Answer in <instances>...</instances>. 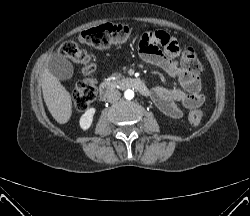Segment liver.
<instances>
[{"label": "liver", "mask_w": 250, "mask_h": 216, "mask_svg": "<svg viewBox=\"0 0 250 216\" xmlns=\"http://www.w3.org/2000/svg\"><path fill=\"white\" fill-rule=\"evenodd\" d=\"M41 82L43 98L49 112L58 123H67L72 114L70 93L47 68L42 72Z\"/></svg>", "instance_id": "1"}]
</instances>
